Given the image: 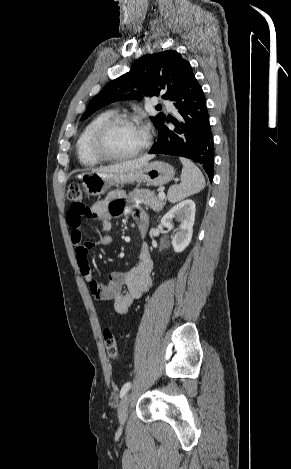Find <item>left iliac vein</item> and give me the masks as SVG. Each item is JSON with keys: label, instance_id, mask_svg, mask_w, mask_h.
<instances>
[{"label": "left iliac vein", "instance_id": "left-iliac-vein-1", "mask_svg": "<svg viewBox=\"0 0 291 469\" xmlns=\"http://www.w3.org/2000/svg\"><path fill=\"white\" fill-rule=\"evenodd\" d=\"M129 400H130V394L127 393L122 398L119 409H118V416H119V421L121 425H123L127 419Z\"/></svg>", "mask_w": 291, "mask_h": 469}]
</instances>
